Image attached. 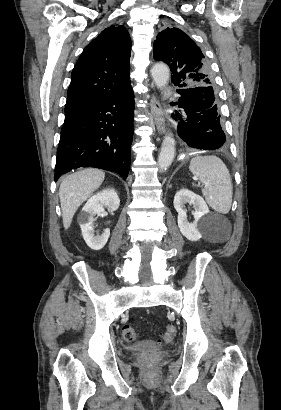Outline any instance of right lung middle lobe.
<instances>
[{"mask_svg":"<svg viewBox=\"0 0 281 410\" xmlns=\"http://www.w3.org/2000/svg\"><path fill=\"white\" fill-rule=\"evenodd\" d=\"M74 110H65V116L71 114Z\"/></svg>","mask_w":281,"mask_h":410,"instance_id":"right-lung-middle-lobe-1","label":"right lung middle lobe"}]
</instances>
